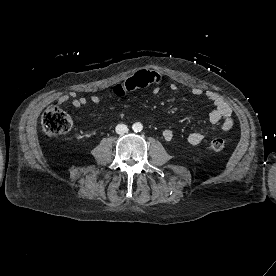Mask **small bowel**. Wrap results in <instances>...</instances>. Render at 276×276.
I'll return each instance as SVG.
<instances>
[{"label":"small bowel","instance_id":"1","mask_svg":"<svg viewBox=\"0 0 276 276\" xmlns=\"http://www.w3.org/2000/svg\"><path fill=\"white\" fill-rule=\"evenodd\" d=\"M163 82L162 75L155 71L149 69H143L136 72L133 76L127 79L125 82L118 84L113 93L116 96H123L127 92L143 89L149 86H158ZM168 86L172 91L178 90V85L174 81H168ZM191 94L194 96L205 95L210 99L214 105V110L209 116L210 123L213 125H218L219 133H226L233 128L234 119L233 112L230 104L218 93L211 90H203L200 87H192L190 90ZM90 101L92 103H98L100 98L97 95H91L88 99L85 97L78 96L75 92L71 91L62 94L58 97V105H63L70 103L73 107L79 108ZM174 137V133L170 129H165L163 131V138L166 141H171ZM204 140V135L199 132L191 133L187 136V142L190 145H198Z\"/></svg>","mask_w":276,"mask_h":276}]
</instances>
